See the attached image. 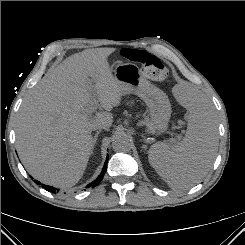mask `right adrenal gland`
<instances>
[{
    "label": "right adrenal gland",
    "instance_id": "obj_1",
    "mask_svg": "<svg viewBox=\"0 0 245 245\" xmlns=\"http://www.w3.org/2000/svg\"><path fill=\"white\" fill-rule=\"evenodd\" d=\"M100 132H101V130H98V131L95 133V135H94V138H93V149H94V147H95V145H96V143H97L98 135L100 134ZM91 153H93V151H92Z\"/></svg>",
    "mask_w": 245,
    "mask_h": 245
}]
</instances>
